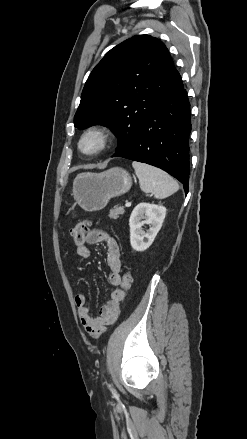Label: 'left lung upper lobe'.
I'll return each mask as SVG.
<instances>
[{"label":"left lung upper lobe","instance_id":"left-lung-upper-lobe-1","mask_svg":"<svg viewBox=\"0 0 247 439\" xmlns=\"http://www.w3.org/2000/svg\"><path fill=\"white\" fill-rule=\"evenodd\" d=\"M180 80L162 41L149 35L134 36L111 49L93 69L74 126H108L119 138L117 150H125L141 122Z\"/></svg>","mask_w":247,"mask_h":439}]
</instances>
